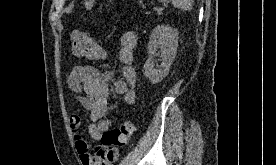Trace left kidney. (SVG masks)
I'll list each match as a JSON object with an SVG mask.
<instances>
[{"label": "left kidney", "mask_w": 276, "mask_h": 165, "mask_svg": "<svg viewBox=\"0 0 276 165\" xmlns=\"http://www.w3.org/2000/svg\"><path fill=\"white\" fill-rule=\"evenodd\" d=\"M178 35L177 29L165 25H158L152 31L148 44L149 58L144 64L143 72L153 84L159 83L168 75L176 56ZM157 55L161 57V64L155 67L154 57Z\"/></svg>", "instance_id": "left-kidney-1"}]
</instances>
